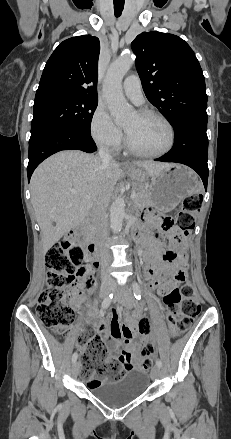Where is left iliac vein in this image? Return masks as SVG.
Here are the masks:
<instances>
[{"mask_svg":"<svg viewBox=\"0 0 231 439\" xmlns=\"http://www.w3.org/2000/svg\"><path fill=\"white\" fill-rule=\"evenodd\" d=\"M122 291L123 292L121 296L117 297L116 300L124 307L131 309L135 303V299L132 294V291L128 286H125ZM159 375H160V368L158 366H154L151 370V379L155 380L159 377Z\"/></svg>","mask_w":231,"mask_h":439,"instance_id":"1","label":"left iliac vein"}]
</instances>
